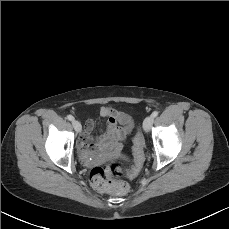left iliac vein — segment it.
Masks as SVG:
<instances>
[{
  "mask_svg": "<svg viewBox=\"0 0 229 229\" xmlns=\"http://www.w3.org/2000/svg\"><path fill=\"white\" fill-rule=\"evenodd\" d=\"M153 121H154V117L152 115L145 118V120L143 122V129H144V131L147 132V131L150 130Z\"/></svg>",
  "mask_w": 229,
  "mask_h": 229,
  "instance_id": "1",
  "label": "left iliac vein"
}]
</instances>
